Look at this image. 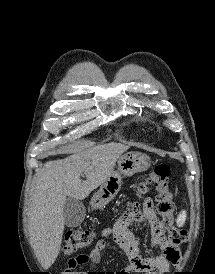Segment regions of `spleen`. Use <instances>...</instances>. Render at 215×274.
Here are the masks:
<instances>
[{
    "mask_svg": "<svg viewBox=\"0 0 215 274\" xmlns=\"http://www.w3.org/2000/svg\"><path fill=\"white\" fill-rule=\"evenodd\" d=\"M185 219H186V213H185V211H183V212H181V213L179 214V216H178L177 225H178V226L183 225Z\"/></svg>",
    "mask_w": 215,
    "mask_h": 274,
    "instance_id": "obj_1",
    "label": "spleen"
}]
</instances>
